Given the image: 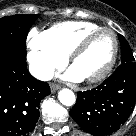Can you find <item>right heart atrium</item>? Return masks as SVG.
I'll list each match as a JSON object with an SVG mask.
<instances>
[{"label":"right heart atrium","instance_id":"obj_1","mask_svg":"<svg viewBox=\"0 0 136 136\" xmlns=\"http://www.w3.org/2000/svg\"><path fill=\"white\" fill-rule=\"evenodd\" d=\"M27 60L32 74L45 79L55 67L61 66L65 56L47 40L44 32L33 29L27 37Z\"/></svg>","mask_w":136,"mask_h":136}]
</instances>
